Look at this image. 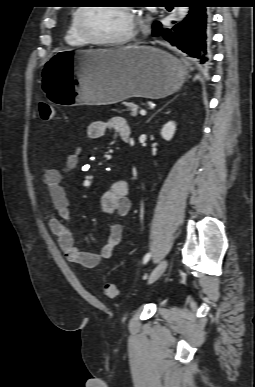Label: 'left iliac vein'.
<instances>
[{
    "instance_id": "left-iliac-vein-1",
    "label": "left iliac vein",
    "mask_w": 255,
    "mask_h": 387,
    "mask_svg": "<svg viewBox=\"0 0 255 387\" xmlns=\"http://www.w3.org/2000/svg\"><path fill=\"white\" fill-rule=\"evenodd\" d=\"M168 266V262L167 260H163L162 262H160L155 268L154 270L152 271V273L150 274V277H149V280H148V283L149 284H152L153 282H155L166 270Z\"/></svg>"
}]
</instances>
